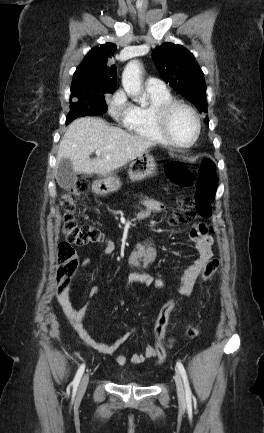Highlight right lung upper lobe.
<instances>
[{"instance_id":"right-lung-upper-lobe-1","label":"right lung upper lobe","mask_w":264,"mask_h":433,"mask_svg":"<svg viewBox=\"0 0 264 433\" xmlns=\"http://www.w3.org/2000/svg\"><path fill=\"white\" fill-rule=\"evenodd\" d=\"M116 51L112 43L93 48L77 67L72 81L71 97H88L111 93L116 86V67L110 59Z\"/></svg>"}]
</instances>
